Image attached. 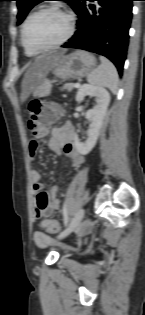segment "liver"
Segmentation results:
<instances>
[{
  "label": "liver",
  "mask_w": 145,
  "mask_h": 315,
  "mask_svg": "<svg viewBox=\"0 0 145 315\" xmlns=\"http://www.w3.org/2000/svg\"><path fill=\"white\" fill-rule=\"evenodd\" d=\"M62 55L64 52L43 55L30 65L23 78L21 101H25L35 87L46 78Z\"/></svg>",
  "instance_id": "6515ba94"
}]
</instances>
